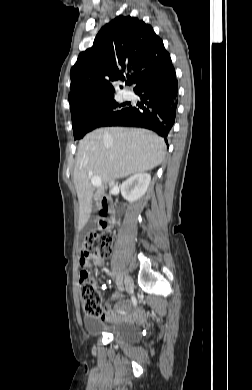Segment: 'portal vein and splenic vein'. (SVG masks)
<instances>
[{
    "label": "portal vein and splenic vein",
    "instance_id": "obj_1",
    "mask_svg": "<svg viewBox=\"0 0 252 390\" xmlns=\"http://www.w3.org/2000/svg\"><path fill=\"white\" fill-rule=\"evenodd\" d=\"M88 175L91 178V183L94 187H100L102 185V181L99 176H94L92 172H89Z\"/></svg>",
    "mask_w": 252,
    "mask_h": 390
}]
</instances>
